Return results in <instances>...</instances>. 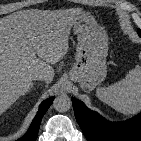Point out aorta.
I'll list each match as a JSON object with an SVG mask.
<instances>
[{
    "label": "aorta",
    "instance_id": "obj_1",
    "mask_svg": "<svg viewBox=\"0 0 141 141\" xmlns=\"http://www.w3.org/2000/svg\"><path fill=\"white\" fill-rule=\"evenodd\" d=\"M53 107L58 112H65L70 109L71 101L67 95H60L54 99Z\"/></svg>",
    "mask_w": 141,
    "mask_h": 141
}]
</instances>
